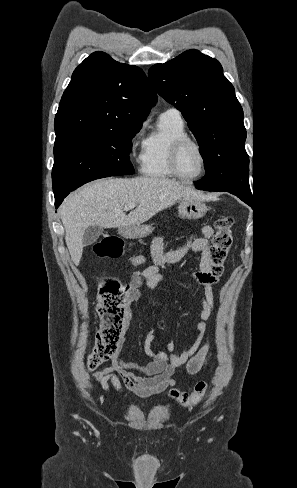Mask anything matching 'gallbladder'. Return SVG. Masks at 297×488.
<instances>
[{
    "mask_svg": "<svg viewBox=\"0 0 297 488\" xmlns=\"http://www.w3.org/2000/svg\"><path fill=\"white\" fill-rule=\"evenodd\" d=\"M103 229L100 226L93 225L89 226L83 235V245L88 246L97 241V239L100 237L102 234Z\"/></svg>",
    "mask_w": 297,
    "mask_h": 488,
    "instance_id": "obj_1",
    "label": "gallbladder"
}]
</instances>
